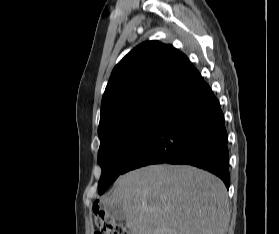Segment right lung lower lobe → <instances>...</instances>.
I'll return each mask as SVG.
<instances>
[{
    "label": "right lung lower lobe",
    "mask_w": 279,
    "mask_h": 234,
    "mask_svg": "<svg viewBox=\"0 0 279 234\" xmlns=\"http://www.w3.org/2000/svg\"><path fill=\"white\" fill-rule=\"evenodd\" d=\"M228 160L224 115L200 76L168 106L129 158L123 173L150 164H189L217 175L229 188Z\"/></svg>",
    "instance_id": "98d812e1"
}]
</instances>
